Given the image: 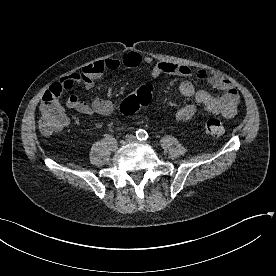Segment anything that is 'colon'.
I'll return each mask as SVG.
<instances>
[{"instance_id": "obj_1", "label": "colon", "mask_w": 276, "mask_h": 276, "mask_svg": "<svg viewBox=\"0 0 276 276\" xmlns=\"http://www.w3.org/2000/svg\"><path fill=\"white\" fill-rule=\"evenodd\" d=\"M74 87L72 83H55L46 95L45 102L40 106L39 128L45 135L61 131L67 125V117L62 111L58 99L65 90ZM153 96V87L150 84L139 86L135 92L127 96L120 105V110L125 115L134 114L139 108L150 103ZM206 134L221 136L225 132L224 123L218 118L208 119L203 126Z\"/></svg>"}]
</instances>
